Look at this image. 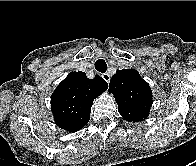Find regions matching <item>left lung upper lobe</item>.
Instances as JSON below:
<instances>
[{"mask_svg": "<svg viewBox=\"0 0 196 166\" xmlns=\"http://www.w3.org/2000/svg\"><path fill=\"white\" fill-rule=\"evenodd\" d=\"M109 92L114 95L119 113L126 121L139 122L148 117L152 91L137 70H117L110 80Z\"/></svg>", "mask_w": 196, "mask_h": 166, "instance_id": "1", "label": "left lung upper lobe"}]
</instances>
